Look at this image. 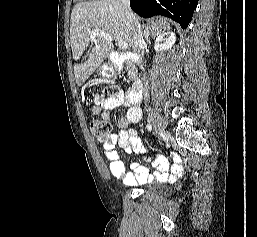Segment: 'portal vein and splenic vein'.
<instances>
[{
  "label": "portal vein and splenic vein",
  "instance_id": "18ae733b",
  "mask_svg": "<svg viewBox=\"0 0 257 237\" xmlns=\"http://www.w3.org/2000/svg\"><path fill=\"white\" fill-rule=\"evenodd\" d=\"M96 37H102L106 41H113L112 37L108 33L100 29H94L91 31L90 39L92 42L96 40ZM118 47L122 50H126L128 48V44L124 41H119Z\"/></svg>",
  "mask_w": 257,
  "mask_h": 237
}]
</instances>
